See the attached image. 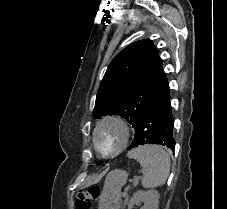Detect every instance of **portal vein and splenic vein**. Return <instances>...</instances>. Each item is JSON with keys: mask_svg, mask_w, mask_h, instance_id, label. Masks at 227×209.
<instances>
[{"mask_svg": "<svg viewBox=\"0 0 227 209\" xmlns=\"http://www.w3.org/2000/svg\"><path fill=\"white\" fill-rule=\"evenodd\" d=\"M132 185L134 184L135 186H137L139 183H138V181L137 180H134L132 183H131ZM127 189L123 192V194L121 195L123 198H127L128 197V192L127 191H131L132 189H131V187L128 185L127 187H126Z\"/></svg>", "mask_w": 227, "mask_h": 209, "instance_id": "obj_1", "label": "portal vein and splenic vein"}]
</instances>
